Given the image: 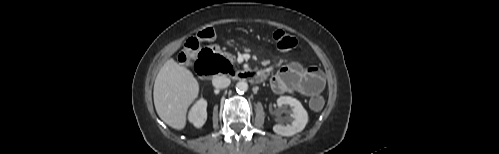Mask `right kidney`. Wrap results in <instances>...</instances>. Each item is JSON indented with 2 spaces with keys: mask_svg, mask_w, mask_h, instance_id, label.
<instances>
[{
  "mask_svg": "<svg viewBox=\"0 0 499 154\" xmlns=\"http://www.w3.org/2000/svg\"><path fill=\"white\" fill-rule=\"evenodd\" d=\"M207 102L204 99H200L191 108L189 112V121L197 128L204 125L207 119Z\"/></svg>",
  "mask_w": 499,
  "mask_h": 154,
  "instance_id": "right-kidney-1",
  "label": "right kidney"
}]
</instances>
